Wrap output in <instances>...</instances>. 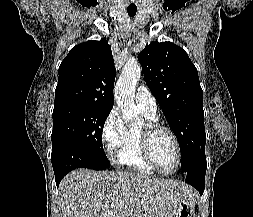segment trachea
Instances as JSON below:
<instances>
[{"label": "trachea", "mask_w": 253, "mask_h": 217, "mask_svg": "<svg viewBox=\"0 0 253 217\" xmlns=\"http://www.w3.org/2000/svg\"><path fill=\"white\" fill-rule=\"evenodd\" d=\"M136 12H137V9H135V8H128L127 9V13L129 15V17H134Z\"/></svg>", "instance_id": "obj_1"}]
</instances>
